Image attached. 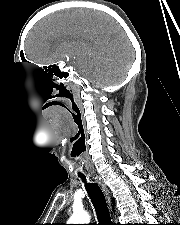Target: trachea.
Listing matches in <instances>:
<instances>
[{
	"label": "trachea",
	"instance_id": "trachea-1",
	"mask_svg": "<svg viewBox=\"0 0 180 225\" xmlns=\"http://www.w3.org/2000/svg\"><path fill=\"white\" fill-rule=\"evenodd\" d=\"M85 183L86 191L91 199L94 209L97 214V219L100 225H113L111 216L108 210L106 199L101 188L96 183H86L85 177L80 176Z\"/></svg>",
	"mask_w": 180,
	"mask_h": 225
}]
</instances>
